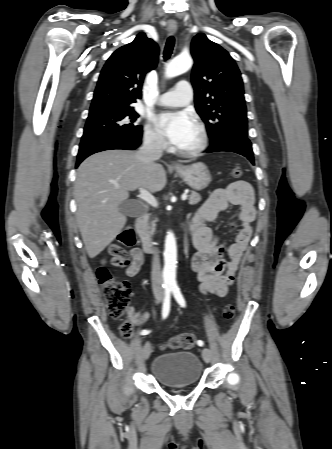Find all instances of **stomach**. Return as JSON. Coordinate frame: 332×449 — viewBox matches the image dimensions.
Returning <instances> with one entry per match:
<instances>
[{
    "instance_id": "0dacf381",
    "label": "stomach",
    "mask_w": 332,
    "mask_h": 449,
    "mask_svg": "<svg viewBox=\"0 0 332 449\" xmlns=\"http://www.w3.org/2000/svg\"><path fill=\"white\" fill-rule=\"evenodd\" d=\"M177 174L194 190L205 189L211 182V175L204 163L198 162L175 169Z\"/></svg>"
}]
</instances>
